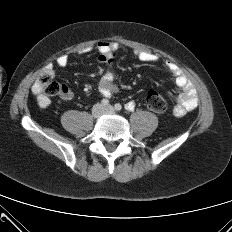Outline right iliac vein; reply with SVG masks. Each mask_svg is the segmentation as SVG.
<instances>
[{"mask_svg":"<svg viewBox=\"0 0 232 232\" xmlns=\"http://www.w3.org/2000/svg\"><path fill=\"white\" fill-rule=\"evenodd\" d=\"M104 112V108L101 104H96L92 108V115L95 118H99Z\"/></svg>","mask_w":232,"mask_h":232,"instance_id":"63e3f726","label":"right iliac vein"}]
</instances>
